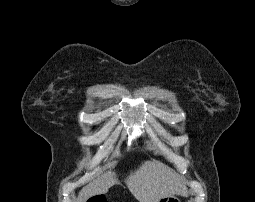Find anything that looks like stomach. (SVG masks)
<instances>
[{"label": "stomach", "instance_id": "1", "mask_svg": "<svg viewBox=\"0 0 255 202\" xmlns=\"http://www.w3.org/2000/svg\"><path fill=\"white\" fill-rule=\"evenodd\" d=\"M158 202H181L179 197L174 195H168L163 198H161Z\"/></svg>", "mask_w": 255, "mask_h": 202}]
</instances>
